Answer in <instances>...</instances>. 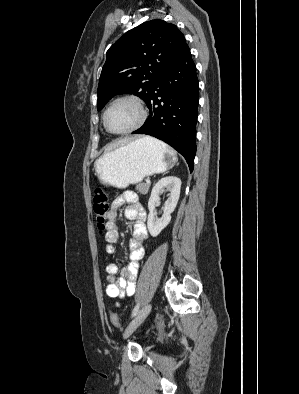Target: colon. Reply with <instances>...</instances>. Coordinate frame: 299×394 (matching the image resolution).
Listing matches in <instances>:
<instances>
[{
	"label": "colon",
	"instance_id": "colon-1",
	"mask_svg": "<svg viewBox=\"0 0 299 394\" xmlns=\"http://www.w3.org/2000/svg\"><path fill=\"white\" fill-rule=\"evenodd\" d=\"M93 210L98 228L103 229L107 223L109 213V198L102 188H96L93 196ZM111 323L114 327H119V318L117 313L112 312L110 315Z\"/></svg>",
	"mask_w": 299,
	"mask_h": 394
}]
</instances>
